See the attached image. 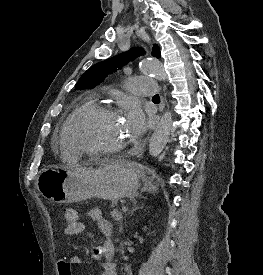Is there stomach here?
Here are the masks:
<instances>
[{"label":"stomach","instance_id":"1","mask_svg":"<svg viewBox=\"0 0 263 275\" xmlns=\"http://www.w3.org/2000/svg\"><path fill=\"white\" fill-rule=\"evenodd\" d=\"M138 171L126 162H108L99 168H47L37 178L40 194L51 202L74 203L93 197L113 203L133 198L139 187Z\"/></svg>","mask_w":263,"mask_h":275}]
</instances>
